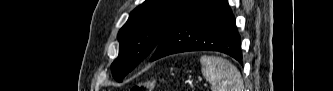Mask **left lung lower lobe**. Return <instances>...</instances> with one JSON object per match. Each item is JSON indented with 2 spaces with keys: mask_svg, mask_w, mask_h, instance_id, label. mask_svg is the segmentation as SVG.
<instances>
[{
  "mask_svg": "<svg viewBox=\"0 0 333 91\" xmlns=\"http://www.w3.org/2000/svg\"><path fill=\"white\" fill-rule=\"evenodd\" d=\"M187 51H219L242 64L240 36L227 0H198L158 44L150 61Z\"/></svg>",
  "mask_w": 333,
  "mask_h": 91,
  "instance_id": "0a47b994",
  "label": "left lung lower lobe"
}]
</instances>
